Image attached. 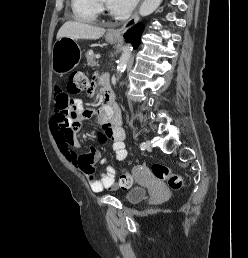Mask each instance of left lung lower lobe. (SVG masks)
I'll list each match as a JSON object with an SVG mask.
<instances>
[{
	"mask_svg": "<svg viewBox=\"0 0 248 258\" xmlns=\"http://www.w3.org/2000/svg\"><path fill=\"white\" fill-rule=\"evenodd\" d=\"M142 31H143L142 26L136 25L124 34V38L128 42H132L134 47H137L140 42V36Z\"/></svg>",
	"mask_w": 248,
	"mask_h": 258,
	"instance_id": "left-lung-lower-lobe-1",
	"label": "left lung lower lobe"
}]
</instances>
